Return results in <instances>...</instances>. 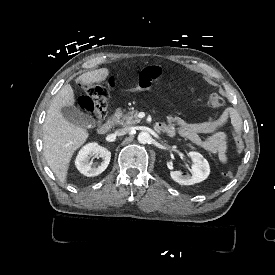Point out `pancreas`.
I'll return each mask as SVG.
<instances>
[{
  "label": "pancreas",
  "instance_id": "pancreas-1",
  "mask_svg": "<svg viewBox=\"0 0 275 275\" xmlns=\"http://www.w3.org/2000/svg\"><path fill=\"white\" fill-rule=\"evenodd\" d=\"M138 111H130L128 113H124V110L121 108H117L114 117L116 118L117 123L129 127L140 122L138 118Z\"/></svg>",
  "mask_w": 275,
  "mask_h": 275
}]
</instances>
